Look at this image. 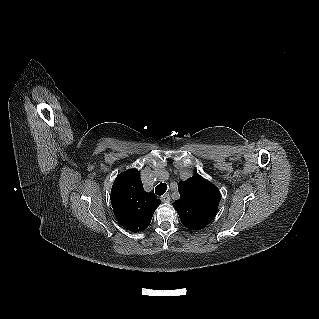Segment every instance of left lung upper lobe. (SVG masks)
Masks as SVG:
<instances>
[{
	"label": "left lung upper lobe",
	"instance_id": "5c2ea615",
	"mask_svg": "<svg viewBox=\"0 0 319 319\" xmlns=\"http://www.w3.org/2000/svg\"><path fill=\"white\" fill-rule=\"evenodd\" d=\"M178 190L180 199L173 206L182 224L190 230L203 229L216 215L220 191L198 174L179 182Z\"/></svg>",
	"mask_w": 319,
	"mask_h": 319
}]
</instances>
